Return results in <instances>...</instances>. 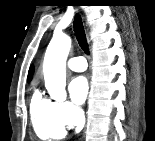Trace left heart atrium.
<instances>
[{
  "label": "left heart atrium",
  "instance_id": "left-heart-atrium-1",
  "mask_svg": "<svg viewBox=\"0 0 155 141\" xmlns=\"http://www.w3.org/2000/svg\"><path fill=\"white\" fill-rule=\"evenodd\" d=\"M88 82L84 76L74 78L69 85V92L76 104H82L88 95Z\"/></svg>",
  "mask_w": 155,
  "mask_h": 141
}]
</instances>
